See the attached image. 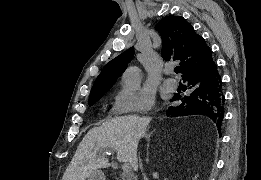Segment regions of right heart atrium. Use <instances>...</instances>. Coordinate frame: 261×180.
<instances>
[{
  "label": "right heart atrium",
  "instance_id": "1",
  "mask_svg": "<svg viewBox=\"0 0 261 180\" xmlns=\"http://www.w3.org/2000/svg\"><path fill=\"white\" fill-rule=\"evenodd\" d=\"M115 99L123 107L122 112H151L155 106V94L148 88L136 87V91L120 89L115 94Z\"/></svg>",
  "mask_w": 261,
  "mask_h": 180
}]
</instances>
